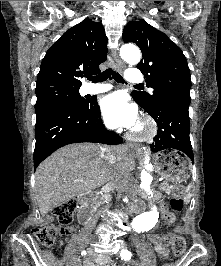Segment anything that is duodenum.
I'll list each match as a JSON object with an SVG mask.
<instances>
[{"mask_svg":"<svg viewBox=\"0 0 221 266\" xmlns=\"http://www.w3.org/2000/svg\"><path fill=\"white\" fill-rule=\"evenodd\" d=\"M78 200L80 203L78 219L81 224L86 225L89 223L93 215L94 197L88 194H82L79 196Z\"/></svg>","mask_w":221,"mask_h":266,"instance_id":"410a0bca","label":"duodenum"}]
</instances>
